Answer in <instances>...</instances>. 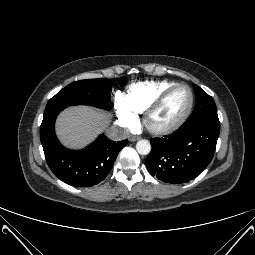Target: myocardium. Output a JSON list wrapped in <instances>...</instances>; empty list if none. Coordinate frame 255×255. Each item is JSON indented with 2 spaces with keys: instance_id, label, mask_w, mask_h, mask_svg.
Listing matches in <instances>:
<instances>
[{
  "instance_id": "obj_1",
  "label": "myocardium",
  "mask_w": 255,
  "mask_h": 255,
  "mask_svg": "<svg viewBox=\"0 0 255 255\" xmlns=\"http://www.w3.org/2000/svg\"><path fill=\"white\" fill-rule=\"evenodd\" d=\"M180 88H185L188 90L190 95V102L189 105L185 111V113L174 123L168 125V126H154L151 123L152 116L160 109V107L163 105L165 100L176 90ZM194 106V94L192 89L185 85V84H176L172 87H169L168 89L164 90L153 102L152 104L145 110L144 116H143V124L147 131H149L151 134L154 135H166L170 134L177 129H179L185 121L190 116L192 109Z\"/></svg>"
}]
</instances>
